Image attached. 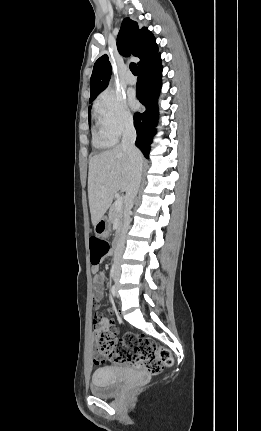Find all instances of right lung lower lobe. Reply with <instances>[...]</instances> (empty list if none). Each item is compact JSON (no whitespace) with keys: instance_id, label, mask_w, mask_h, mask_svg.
<instances>
[{"instance_id":"obj_1","label":"right lung lower lobe","mask_w":261,"mask_h":431,"mask_svg":"<svg viewBox=\"0 0 261 431\" xmlns=\"http://www.w3.org/2000/svg\"><path fill=\"white\" fill-rule=\"evenodd\" d=\"M136 96L145 106V111L135 113L134 126L137 132L136 146L149 157L150 144L157 124V98L161 89V54L157 53L139 67Z\"/></svg>"}]
</instances>
